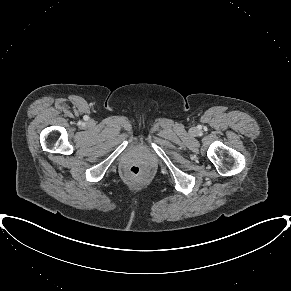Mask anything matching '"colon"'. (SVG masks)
<instances>
[{
    "label": "colon",
    "mask_w": 291,
    "mask_h": 291,
    "mask_svg": "<svg viewBox=\"0 0 291 291\" xmlns=\"http://www.w3.org/2000/svg\"><path fill=\"white\" fill-rule=\"evenodd\" d=\"M128 173L131 175H139L141 173V168L138 166H131L127 169Z\"/></svg>",
    "instance_id": "colon-1"
}]
</instances>
